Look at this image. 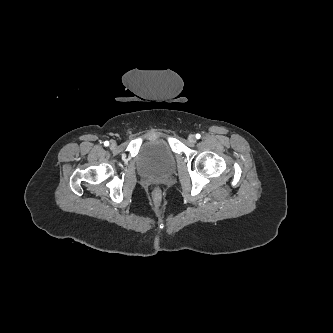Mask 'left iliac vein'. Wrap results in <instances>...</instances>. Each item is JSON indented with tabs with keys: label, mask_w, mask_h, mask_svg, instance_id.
<instances>
[{
	"label": "left iliac vein",
	"mask_w": 333,
	"mask_h": 333,
	"mask_svg": "<svg viewBox=\"0 0 333 333\" xmlns=\"http://www.w3.org/2000/svg\"><path fill=\"white\" fill-rule=\"evenodd\" d=\"M188 140H189L190 143H195L196 142L195 135H193V134L189 135Z\"/></svg>",
	"instance_id": "obj_1"
}]
</instances>
